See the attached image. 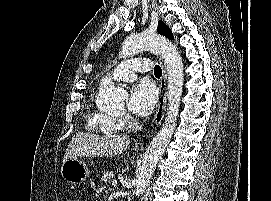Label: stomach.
I'll return each mask as SVG.
<instances>
[{
    "instance_id": "0dacf381",
    "label": "stomach",
    "mask_w": 271,
    "mask_h": 201,
    "mask_svg": "<svg viewBox=\"0 0 271 201\" xmlns=\"http://www.w3.org/2000/svg\"><path fill=\"white\" fill-rule=\"evenodd\" d=\"M61 174L68 183L78 184L86 181L90 175V171L82 160L74 158L63 162Z\"/></svg>"
}]
</instances>
